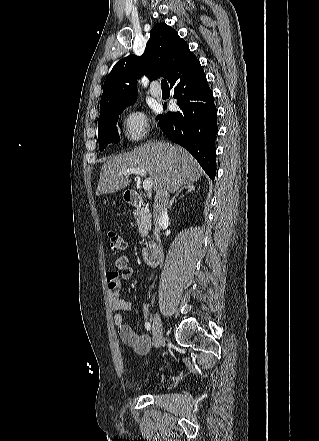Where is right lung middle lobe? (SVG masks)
<instances>
[{"instance_id":"1","label":"right lung middle lobe","mask_w":319,"mask_h":441,"mask_svg":"<svg viewBox=\"0 0 319 441\" xmlns=\"http://www.w3.org/2000/svg\"><path fill=\"white\" fill-rule=\"evenodd\" d=\"M129 104L108 107L100 110L98 121V140L100 151H102L109 143L119 142V134L116 129V123L121 112Z\"/></svg>"}]
</instances>
